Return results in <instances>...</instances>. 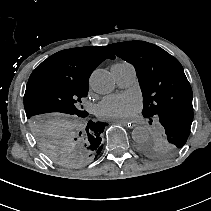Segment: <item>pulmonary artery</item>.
Segmentation results:
<instances>
[{
	"mask_svg": "<svg viewBox=\"0 0 211 211\" xmlns=\"http://www.w3.org/2000/svg\"><path fill=\"white\" fill-rule=\"evenodd\" d=\"M111 71L119 86L128 87L136 81V70L129 63H116L111 67Z\"/></svg>",
	"mask_w": 211,
	"mask_h": 211,
	"instance_id": "pulmonary-artery-1",
	"label": "pulmonary artery"
}]
</instances>
